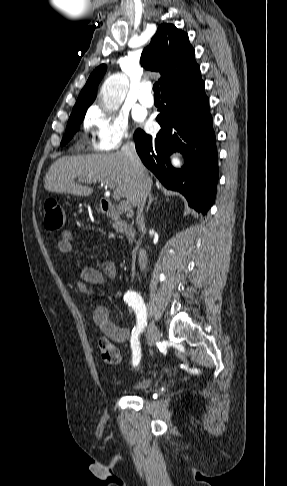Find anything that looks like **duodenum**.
<instances>
[{
    "label": "duodenum",
    "mask_w": 287,
    "mask_h": 486,
    "mask_svg": "<svg viewBox=\"0 0 287 486\" xmlns=\"http://www.w3.org/2000/svg\"><path fill=\"white\" fill-rule=\"evenodd\" d=\"M100 207H101L102 211L107 216H109L111 218H115V219L120 217L119 211L114 206V204L112 202H110L109 200H106V199L101 200L100 201ZM124 236H125L126 240L128 241V243H132L135 240L136 232L132 227L126 226L124 228Z\"/></svg>",
    "instance_id": "410a0bca"
}]
</instances>
